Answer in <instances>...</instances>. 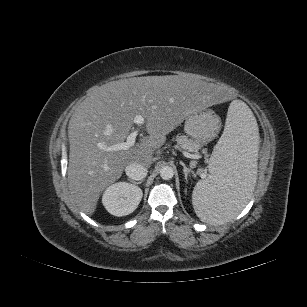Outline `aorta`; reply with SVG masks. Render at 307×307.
<instances>
[{
	"label": "aorta",
	"instance_id": "1",
	"mask_svg": "<svg viewBox=\"0 0 307 307\" xmlns=\"http://www.w3.org/2000/svg\"><path fill=\"white\" fill-rule=\"evenodd\" d=\"M174 175V170L172 167L170 166H163L161 169H160V176L162 179L164 180H169L173 177Z\"/></svg>",
	"mask_w": 307,
	"mask_h": 307
}]
</instances>
